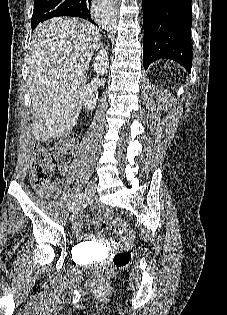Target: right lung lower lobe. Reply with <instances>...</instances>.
<instances>
[{"instance_id":"98d812e1","label":"right lung lower lobe","mask_w":227,"mask_h":315,"mask_svg":"<svg viewBox=\"0 0 227 315\" xmlns=\"http://www.w3.org/2000/svg\"><path fill=\"white\" fill-rule=\"evenodd\" d=\"M92 3L91 0H75L72 5L62 9L56 10L57 16H75L87 19L95 24L91 19L90 9Z\"/></svg>"}]
</instances>
